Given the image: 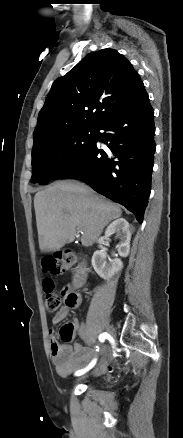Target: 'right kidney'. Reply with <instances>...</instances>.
<instances>
[{
    "label": "right kidney",
    "instance_id": "1",
    "mask_svg": "<svg viewBox=\"0 0 183 438\" xmlns=\"http://www.w3.org/2000/svg\"><path fill=\"white\" fill-rule=\"evenodd\" d=\"M133 227L124 219L119 218L113 221L105 230V239H108L112 234H116L120 242L116 246L121 257H127L130 250V239ZM107 254L104 251H95L92 256V266L96 273L103 279L109 280L123 266L120 259H109L106 261Z\"/></svg>",
    "mask_w": 183,
    "mask_h": 438
}]
</instances>
